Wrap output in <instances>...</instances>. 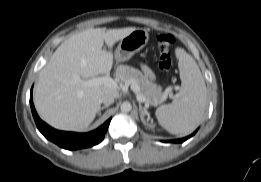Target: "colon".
<instances>
[{"instance_id":"obj_1","label":"colon","mask_w":261,"mask_h":182,"mask_svg":"<svg viewBox=\"0 0 261 182\" xmlns=\"http://www.w3.org/2000/svg\"><path fill=\"white\" fill-rule=\"evenodd\" d=\"M156 43L158 47V63L162 70H169L172 64L170 48L175 43V38L169 33H158L156 35Z\"/></svg>"}]
</instances>
